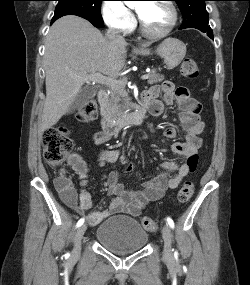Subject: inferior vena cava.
<instances>
[{
    "label": "inferior vena cava",
    "instance_id": "602c4592",
    "mask_svg": "<svg viewBox=\"0 0 250 285\" xmlns=\"http://www.w3.org/2000/svg\"><path fill=\"white\" fill-rule=\"evenodd\" d=\"M107 37L109 39L117 40V41H125L124 37L119 35L118 31L114 28H109L107 31Z\"/></svg>",
    "mask_w": 250,
    "mask_h": 285
}]
</instances>
